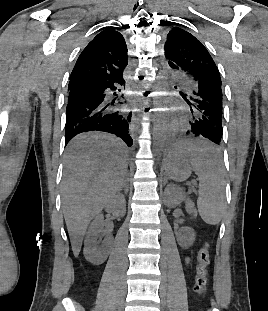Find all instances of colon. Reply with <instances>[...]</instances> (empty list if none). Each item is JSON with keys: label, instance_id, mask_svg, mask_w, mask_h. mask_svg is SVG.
I'll return each mask as SVG.
<instances>
[{"label": "colon", "instance_id": "5ec220e1", "mask_svg": "<svg viewBox=\"0 0 268 311\" xmlns=\"http://www.w3.org/2000/svg\"><path fill=\"white\" fill-rule=\"evenodd\" d=\"M198 264L196 267L194 291L203 295L207 284V267L210 264V249L207 243L203 244L197 255Z\"/></svg>", "mask_w": 268, "mask_h": 311}]
</instances>
